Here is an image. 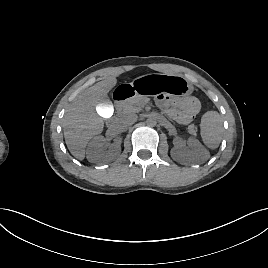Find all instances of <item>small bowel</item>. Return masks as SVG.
I'll return each instance as SVG.
<instances>
[{"label":"small bowel","instance_id":"obj_1","mask_svg":"<svg viewBox=\"0 0 268 268\" xmlns=\"http://www.w3.org/2000/svg\"><path fill=\"white\" fill-rule=\"evenodd\" d=\"M158 104L170 118L182 125L191 123L200 110L199 100L195 97L176 99L161 96Z\"/></svg>","mask_w":268,"mask_h":268}]
</instances>
